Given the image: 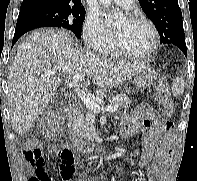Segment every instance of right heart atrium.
<instances>
[{
    "label": "right heart atrium",
    "instance_id": "1",
    "mask_svg": "<svg viewBox=\"0 0 197 181\" xmlns=\"http://www.w3.org/2000/svg\"><path fill=\"white\" fill-rule=\"evenodd\" d=\"M82 33L87 46L95 52H106L113 44L112 33L103 25L96 12L87 14Z\"/></svg>",
    "mask_w": 197,
    "mask_h": 181
}]
</instances>
